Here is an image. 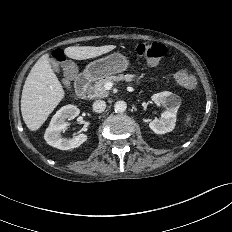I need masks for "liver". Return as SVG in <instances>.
Here are the masks:
<instances>
[{
	"mask_svg": "<svg viewBox=\"0 0 232 232\" xmlns=\"http://www.w3.org/2000/svg\"><path fill=\"white\" fill-rule=\"evenodd\" d=\"M115 48V45L71 46L64 53L69 58L85 60L101 56ZM64 95L63 87L50 66L49 55H42L28 74L21 96L22 117L28 129L38 130Z\"/></svg>",
	"mask_w": 232,
	"mask_h": 232,
	"instance_id": "1",
	"label": "liver"
}]
</instances>
